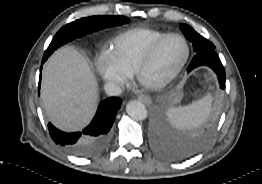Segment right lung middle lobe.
<instances>
[{"label":"right lung middle lobe","mask_w":262,"mask_h":184,"mask_svg":"<svg viewBox=\"0 0 262 184\" xmlns=\"http://www.w3.org/2000/svg\"><path fill=\"white\" fill-rule=\"evenodd\" d=\"M130 22V19L123 16H92L71 22L62 27L54 36L52 42L44 53L43 60L52 54L61 45L91 32L103 28L118 26Z\"/></svg>","instance_id":"1"}]
</instances>
